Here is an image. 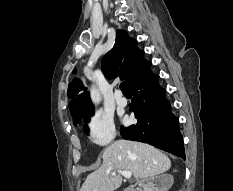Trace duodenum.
<instances>
[{"label": "duodenum", "instance_id": "duodenum-1", "mask_svg": "<svg viewBox=\"0 0 233 191\" xmlns=\"http://www.w3.org/2000/svg\"><path fill=\"white\" fill-rule=\"evenodd\" d=\"M130 191H139V189L138 188H133Z\"/></svg>", "mask_w": 233, "mask_h": 191}]
</instances>
